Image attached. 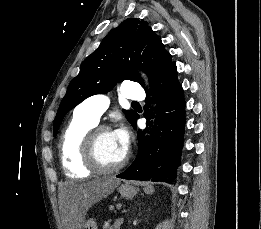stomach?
<instances>
[{
    "label": "stomach",
    "instance_id": "stomach-1",
    "mask_svg": "<svg viewBox=\"0 0 261 229\" xmlns=\"http://www.w3.org/2000/svg\"><path fill=\"white\" fill-rule=\"evenodd\" d=\"M144 191L150 195V193H153V187H150V185H145ZM119 193L122 197L133 199L137 193V189L126 183V185H121V187H119ZM82 229H97V223H95L94 219H89V221H86V223L82 225Z\"/></svg>",
    "mask_w": 261,
    "mask_h": 229
}]
</instances>
